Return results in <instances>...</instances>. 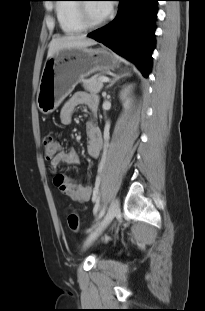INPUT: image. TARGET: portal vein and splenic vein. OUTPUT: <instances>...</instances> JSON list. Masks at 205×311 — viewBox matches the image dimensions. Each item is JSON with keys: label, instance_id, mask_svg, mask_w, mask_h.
<instances>
[{"label": "portal vein and splenic vein", "instance_id": "portal-vein-and-splenic-vein-1", "mask_svg": "<svg viewBox=\"0 0 205 311\" xmlns=\"http://www.w3.org/2000/svg\"><path fill=\"white\" fill-rule=\"evenodd\" d=\"M100 81H102V82H109L110 79H109L108 77L103 76V77L100 79Z\"/></svg>", "mask_w": 205, "mask_h": 311}]
</instances>
